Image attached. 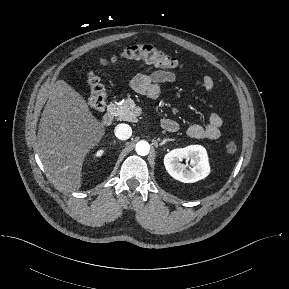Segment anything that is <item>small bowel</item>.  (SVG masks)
I'll use <instances>...</instances> for the list:
<instances>
[{
	"instance_id": "1",
	"label": "small bowel",
	"mask_w": 289,
	"mask_h": 289,
	"mask_svg": "<svg viewBox=\"0 0 289 289\" xmlns=\"http://www.w3.org/2000/svg\"><path fill=\"white\" fill-rule=\"evenodd\" d=\"M178 79L177 75L168 70H156L150 74H139L132 80V88L141 95H147L151 98H157L162 91V85L173 83ZM215 82L210 75H204L202 86L205 90L210 91L214 88ZM175 127H172L171 124ZM223 119L220 115L213 113L209 116L205 125L191 124L187 133L190 137L196 139L216 140L220 137ZM162 127L168 132L177 130V123L169 118L163 119Z\"/></svg>"
}]
</instances>
